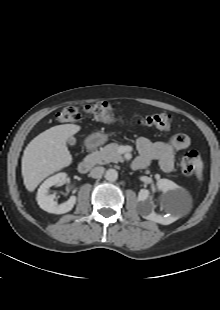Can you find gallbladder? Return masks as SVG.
I'll use <instances>...</instances> for the list:
<instances>
[{"label": "gallbladder", "mask_w": 220, "mask_h": 310, "mask_svg": "<svg viewBox=\"0 0 220 310\" xmlns=\"http://www.w3.org/2000/svg\"><path fill=\"white\" fill-rule=\"evenodd\" d=\"M67 143L70 145V146H74L76 144V139L74 137H70L68 140H67Z\"/></svg>", "instance_id": "obj_1"}]
</instances>
